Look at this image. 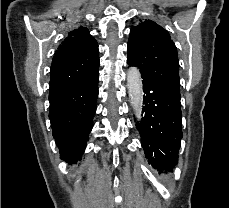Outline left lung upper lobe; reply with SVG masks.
Listing matches in <instances>:
<instances>
[{"instance_id":"5c2ea615","label":"left lung upper lobe","mask_w":229,"mask_h":208,"mask_svg":"<svg viewBox=\"0 0 229 208\" xmlns=\"http://www.w3.org/2000/svg\"><path fill=\"white\" fill-rule=\"evenodd\" d=\"M142 78L180 98L179 61L169 33L152 20L132 26L128 59Z\"/></svg>"}]
</instances>
